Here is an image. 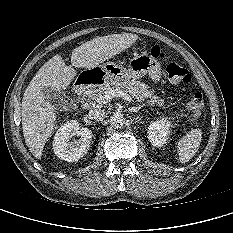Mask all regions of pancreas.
Segmentation results:
<instances>
[{"instance_id":"cf45deb5","label":"pancreas","mask_w":233,"mask_h":233,"mask_svg":"<svg viewBox=\"0 0 233 233\" xmlns=\"http://www.w3.org/2000/svg\"><path fill=\"white\" fill-rule=\"evenodd\" d=\"M120 89L122 91L128 92L132 97L136 98L138 101L148 100L149 105H162L163 100L158 96L154 95V90L140 81L136 80H127V81H109L104 84L98 85L96 88L88 90L85 92V95L93 103H98V97L104 94L106 91L111 89Z\"/></svg>"}]
</instances>
